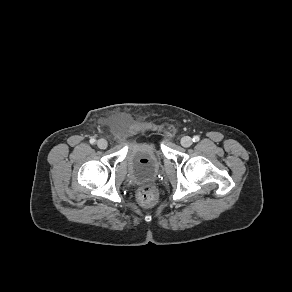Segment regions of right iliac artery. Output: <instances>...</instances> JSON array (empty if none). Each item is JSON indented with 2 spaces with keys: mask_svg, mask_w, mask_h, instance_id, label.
<instances>
[{
  "mask_svg": "<svg viewBox=\"0 0 292 292\" xmlns=\"http://www.w3.org/2000/svg\"><path fill=\"white\" fill-rule=\"evenodd\" d=\"M96 140L94 138L90 139L91 144H95Z\"/></svg>",
  "mask_w": 292,
  "mask_h": 292,
  "instance_id": "82829eb1",
  "label": "right iliac artery"
}]
</instances>
